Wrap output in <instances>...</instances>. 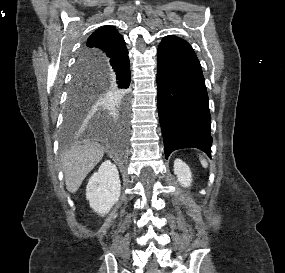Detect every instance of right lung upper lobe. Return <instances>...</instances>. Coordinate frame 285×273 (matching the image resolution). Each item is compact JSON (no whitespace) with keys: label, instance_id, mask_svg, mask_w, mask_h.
I'll return each mask as SVG.
<instances>
[{"label":"right lung upper lobe","instance_id":"obj_1","mask_svg":"<svg viewBox=\"0 0 285 273\" xmlns=\"http://www.w3.org/2000/svg\"><path fill=\"white\" fill-rule=\"evenodd\" d=\"M125 41L115 27L103 26L97 29L83 46L77 67L90 72L89 65L96 60L114 59L127 54Z\"/></svg>","mask_w":285,"mask_h":273}]
</instances>
